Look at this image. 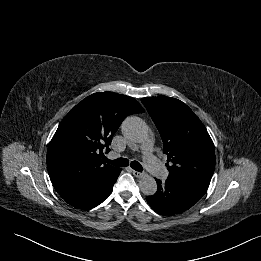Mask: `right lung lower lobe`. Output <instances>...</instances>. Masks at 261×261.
<instances>
[{
	"mask_svg": "<svg viewBox=\"0 0 261 261\" xmlns=\"http://www.w3.org/2000/svg\"><path fill=\"white\" fill-rule=\"evenodd\" d=\"M121 169L118 168L109 177L92 189L64 198V200L79 209H91L103 202L112 192L113 185L118 178Z\"/></svg>",
	"mask_w": 261,
	"mask_h": 261,
	"instance_id": "1",
	"label": "right lung lower lobe"
}]
</instances>
